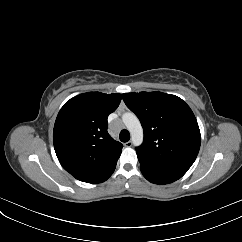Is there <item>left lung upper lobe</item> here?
I'll return each mask as SVG.
<instances>
[{"mask_svg":"<svg viewBox=\"0 0 242 242\" xmlns=\"http://www.w3.org/2000/svg\"><path fill=\"white\" fill-rule=\"evenodd\" d=\"M127 107L141 121L144 141L137 155L150 165L186 173L201 144L197 120L179 97L162 92L125 93Z\"/></svg>","mask_w":242,"mask_h":242,"instance_id":"1","label":"left lung upper lobe"}]
</instances>
